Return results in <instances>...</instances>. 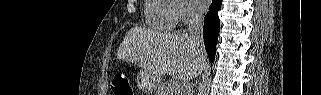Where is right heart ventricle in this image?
Wrapping results in <instances>:
<instances>
[{
	"instance_id": "obj_1",
	"label": "right heart ventricle",
	"mask_w": 321,
	"mask_h": 95,
	"mask_svg": "<svg viewBox=\"0 0 321 95\" xmlns=\"http://www.w3.org/2000/svg\"><path fill=\"white\" fill-rule=\"evenodd\" d=\"M145 20L150 28L157 31H171L176 25L171 5L167 0H147Z\"/></svg>"
}]
</instances>
